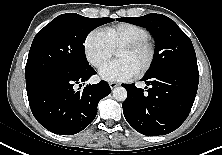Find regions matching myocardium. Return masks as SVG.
<instances>
[{
	"instance_id": "f54148a6",
	"label": "myocardium",
	"mask_w": 222,
	"mask_h": 155,
	"mask_svg": "<svg viewBox=\"0 0 222 155\" xmlns=\"http://www.w3.org/2000/svg\"><path fill=\"white\" fill-rule=\"evenodd\" d=\"M146 48L148 50V58L143 67L138 70L135 75L136 77L144 76L153 66L156 58V47L153 41L148 39H140L134 42H130L120 46L116 52L118 51H137L139 49Z\"/></svg>"
}]
</instances>
